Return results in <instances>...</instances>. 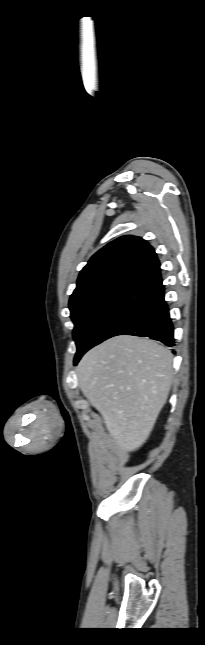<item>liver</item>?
<instances>
[{
  "instance_id": "1",
  "label": "liver",
  "mask_w": 205,
  "mask_h": 645,
  "mask_svg": "<svg viewBox=\"0 0 205 645\" xmlns=\"http://www.w3.org/2000/svg\"><path fill=\"white\" fill-rule=\"evenodd\" d=\"M79 386L102 415L118 452L149 438L173 381V355L148 338L116 336L89 350L77 366Z\"/></svg>"
}]
</instances>
